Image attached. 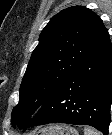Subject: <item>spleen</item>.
<instances>
[{
    "label": "spleen",
    "mask_w": 112,
    "mask_h": 135,
    "mask_svg": "<svg viewBox=\"0 0 112 135\" xmlns=\"http://www.w3.org/2000/svg\"><path fill=\"white\" fill-rule=\"evenodd\" d=\"M84 135H100V133L94 129L86 127L84 129Z\"/></svg>",
    "instance_id": "1"
}]
</instances>
